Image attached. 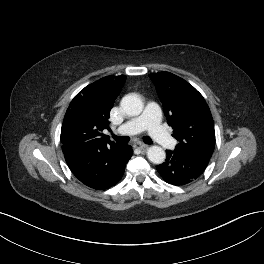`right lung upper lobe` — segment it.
Returning <instances> with one entry per match:
<instances>
[{
  "label": "right lung upper lobe",
  "instance_id": "cb5924a9",
  "mask_svg": "<svg viewBox=\"0 0 264 264\" xmlns=\"http://www.w3.org/2000/svg\"><path fill=\"white\" fill-rule=\"evenodd\" d=\"M125 76H106L82 89L70 103L61 129L64 155L119 144L102 130L109 128V113L125 83Z\"/></svg>",
  "mask_w": 264,
  "mask_h": 264
}]
</instances>
